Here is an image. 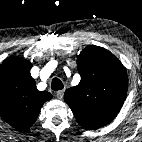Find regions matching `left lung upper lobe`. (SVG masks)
<instances>
[{"instance_id":"left-lung-upper-lobe-1","label":"left lung upper lobe","mask_w":142,"mask_h":142,"mask_svg":"<svg viewBox=\"0 0 142 142\" xmlns=\"http://www.w3.org/2000/svg\"><path fill=\"white\" fill-rule=\"evenodd\" d=\"M77 66L81 81L66 91L65 102L83 128L108 124L127 93L128 78L123 65L108 50L88 45L77 57Z\"/></svg>"}]
</instances>
